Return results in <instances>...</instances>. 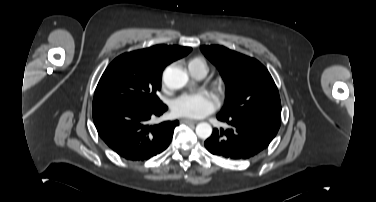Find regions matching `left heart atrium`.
Here are the masks:
<instances>
[{
  "label": "left heart atrium",
  "mask_w": 376,
  "mask_h": 202,
  "mask_svg": "<svg viewBox=\"0 0 376 202\" xmlns=\"http://www.w3.org/2000/svg\"><path fill=\"white\" fill-rule=\"evenodd\" d=\"M218 106L214 95L207 91L184 93L172 103V112L179 117L201 118Z\"/></svg>",
  "instance_id": "obj_1"
}]
</instances>
